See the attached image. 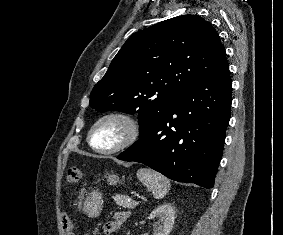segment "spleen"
Returning <instances> with one entry per match:
<instances>
[{"label":"spleen","mask_w":283,"mask_h":235,"mask_svg":"<svg viewBox=\"0 0 283 235\" xmlns=\"http://www.w3.org/2000/svg\"><path fill=\"white\" fill-rule=\"evenodd\" d=\"M138 179L152 191L155 199H162L170 190V181L162 174L149 168H140L137 170Z\"/></svg>","instance_id":"obj_1"}]
</instances>
